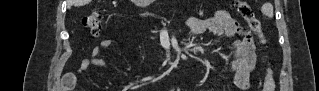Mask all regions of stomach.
Returning a JSON list of instances; mask_svg holds the SVG:
<instances>
[{"instance_id": "1", "label": "stomach", "mask_w": 319, "mask_h": 91, "mask_svg": "<svg viewBox=\"0 0 319 91\" xmlns=\"http://www.w3.org/2000/svg\"><path fill=\"white\" fill-rule=\"evenodd\" d=\"M137 2L138 3H150L151 0H138Z\"/></svg>"}]
</instances>
